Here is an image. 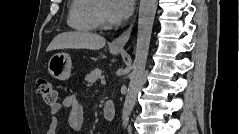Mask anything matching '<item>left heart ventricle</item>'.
Wrapping results in <instances>:
<instances>
[{
    "instance_id": "b2bd125f",
    "label": "left heart ventricle",
    "mask_w": 239,
    "mask_h": 134,
    "mask_svg": "<svg viewBox=\"0 0 239 134\" xmlns=\"http://www.w3.org/2000/svg\"><path fill=\"white\" fill-rule=\"evenodd\" d=\"M100 6H101V10H102V13H103V16L105 18V20L109 23H111V21L109 20L108 16H107V6H108V2L105 1V0H101L99 2Z\"/></svg>"
}]
</instances>
